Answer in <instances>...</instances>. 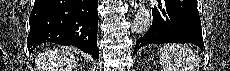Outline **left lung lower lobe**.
<instances>
[{
  "instance_id": "left-lung-lower-lobe-1",
  "label": "left lung lower lobe",
  "mask_w": 230,
  "mask_h": 71,
  "mask_svg": "<svg viewBox=\"0 0 230 71\" xmlns=\"http://www.w3.org/2000/svg\"><path fill=\"white\" fill-rule=\"evenodd\" d=\"M153 23L140 37L133 54L147 44L193 43L204 50L197 0H157Z\"/></svg>"
}]
</instances>
